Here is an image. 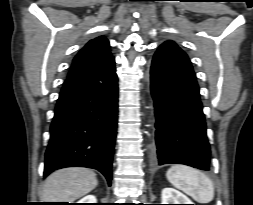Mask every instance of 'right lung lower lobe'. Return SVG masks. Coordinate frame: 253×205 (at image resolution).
Wrapping results in <instances>:
<instances>
[{
    "label": "right lung lower lobe",
    "instance_id": "98d812e1",
    "mask_svg": "<svg viewBox=\"0 0 253 205\" xmlns=\"http://www.w3.org/2000/svg\"><path fill=\"white\" fill-rule=\"evenodd\" d=\"M118 84L114 59L67 78L60 92L45 154L44 176L55 169H97L111 185L117 128Z\"/></svg>",
    "mask_w": 253,
    "mask_h": 205
}]
</instances>
